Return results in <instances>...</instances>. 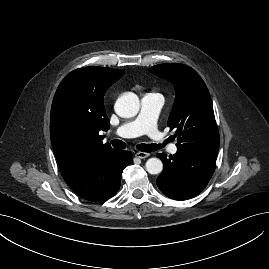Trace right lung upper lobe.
<instances>
[{
  "mask_svg": "<svg viewBox=\"0 0 269 269\" xmlns=\"http://www.w3.org/2000/svg\"><path fill=\"white\" fill-rule=\"evenodd\" d=\"M124 74L122 69L85 67L72 71L55 93L50 118L51 143L61 172L116 151L103 144L109 129L103 96Z\"/></svg>",
  "mask_w": 269,
  "mask_h": 269,
  "instance_id": "obj_1",
  "label": "right lung upper lobe"
}]
</instances>
